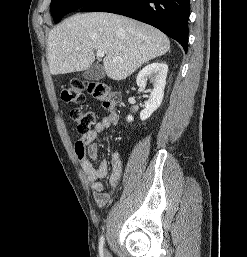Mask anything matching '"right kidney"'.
<instances>
[{
	"instance_id": "right-kidney-1",
	"label": "right kidney",
	"mask_w": 247,
	"mask_h": 257,
	"mask_svg": "<svg viewBox=\"0 0 247 257\" xmlns=\"http://www.w3.org/2000/svg\"><path fill=\"white\" fill-rule=\"evenodd\" d=\"M167 72L168 66L165 63L154 62L145 66L138 73L136 83L139 87H143L145 85L148 77L154 78V88L149 99L145 101V109L140 113V119L142 121L148 119L161 105L164 97ZM127 121H133V117L128 115Z\"/></svg>"
}]
</instances>
